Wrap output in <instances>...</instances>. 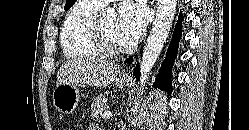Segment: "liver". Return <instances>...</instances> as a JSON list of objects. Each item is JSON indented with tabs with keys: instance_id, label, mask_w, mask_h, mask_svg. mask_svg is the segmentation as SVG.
<instances>
[{
	"instance_id": "1",
	"label": "liver",
	"mask_w": 249,
	"mask_h": 130,
	"mask_svg": "<svg viewBox=\"0 0 249 130\" xmlns=\"http://www.w3.org/2000/svg\"><path fill=\"white\" fill-rule=\"evenodd\" d=\"M120 71V66L99 58L67 60L57 72L56 86L61 84H86L108 86Z\"/></svg>"
}]
</instances>
